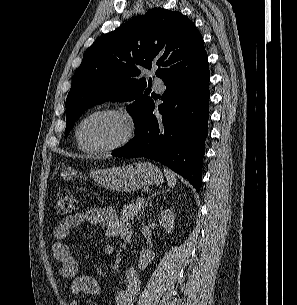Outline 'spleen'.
I'll return each mask as SVG.
<instances>
[{"label": "spleen", "mask_w": 297, "mask_h": 305, "mask_svg": "<svg viewBox=\"0 0 297 305\" xmlns=\"http://www.w3.org/2000/svg\"><path fill=\"white\" fill-rule=\"evenodd\" d=\"M164 173H165L166 179L168 181L169 187L173 188L177 182V180L175 178V174L166 168L164 169Z\"/></svg>", "instance_id": "obj_1"}]
</instances>
